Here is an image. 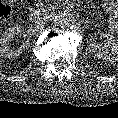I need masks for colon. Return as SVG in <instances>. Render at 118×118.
Returning a JSON list of instances; mask_svg holds the SVG:
<instances>
[{
	"mask_svg": "<svg viewBox=\"0 0 118 118\" xmlns=\"http://www.w3.org/2000/svg\"><path fill=\"white\" fill-rule=\"evenodd\" d=\"M12 0H0V23L5 22L12 12Z\"/></svg>",
	"mask_w": 118,
	"mask_h": 118,
	"instance_id": "obj_1",
	"label": "colon"
}]
</instances>
